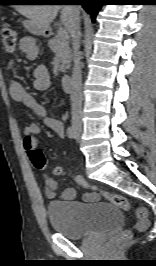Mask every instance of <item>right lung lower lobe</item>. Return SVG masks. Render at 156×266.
Masks as SVG:
<instances>
[{"mask_svg": "<svg viewBox=\"0 0 156 266\" xmlns=\"http://www.w3.org/2000/svg\"><path fill=\"white\" fill-rule=\"evenodd\" d=\"M60 2H50V3H65L67 1L78 3L83 6L88 14L91 15L92 21H95V17L103 5L104 0H57Z\"/></svg>", "mask_w": 156, "mask_h": 266, "instance_id": "98d812e1", "label": "right lung lower lobe"}]
</instances>
